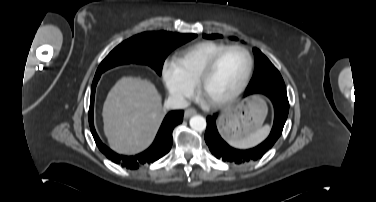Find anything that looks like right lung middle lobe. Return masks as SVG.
<instances>
[{
	"label": "right lung middle lobe",
	"instance_id": "dd1d6c3e",
	"mask_svg": "<svg viewBox=\"0 0 376 202\" xmlns=\"http://www.w3.org/2000/svg\"><path fill=\"white\" fill-rule=\"evenodd\" d=\"M196 36L166 31L144 32L133 36L108 54L99 65L94 79H99L103 72L114 66L128 63L147 64L161 75L168 54Z\"/></svg>",
	"mask_w": 376,
	"mask_h": 202
}]
</instances>
